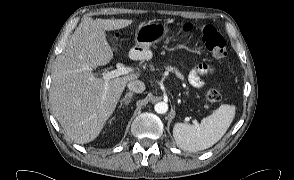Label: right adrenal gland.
<instances>
[{
  "mask_svg": "<svg viewBox=\"0 0 294 180\" xmlns=\"http://www.w3.org/2000/svg\"><path fill=\"white\" fill-rule=\"evenodd\" d=\"M132 97H133V93L131 92L126 93L125 96L120 100L119 107H121L123 104L127 106L131 102Z\"/></svg>",
  "mask_w": 294,
  "mask_h": 180,
  "instance_id": "1",
  "label": "right adrenal gland"
}]
</instances>
